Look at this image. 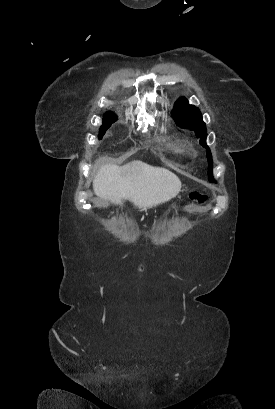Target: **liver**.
Here are the masks:
<instances>
[{"label": "liver", "mask_w": 275, "mask_h": 409, "mask_svg": "<svg viewBox=\"0 0 275 409\" xmlns=\"http://www.w3.org/2000/svg\"><path fill=\"white\" fill-rule=\"evenodd\" d=\"M181 186V180L174 172L150 166L142 160H131L123 166L103 164L93 180L96 196L111 200L114 205H123L124 200H130L142 211L170 200Z\"/></svg>", "instance_id": "obj_1"}]
</instances>
